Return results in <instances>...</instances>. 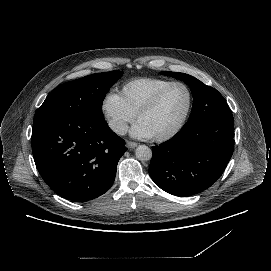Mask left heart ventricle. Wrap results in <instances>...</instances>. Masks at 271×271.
I'll use <instances>...</instances> for the list:
<instances>
[{"instance_id": "b2bd125f", "label": "left heart ventricle", "mask_w": 271, "mask_h": 271, "mask_svg": "<svg viewBox=\"0 0 271 271\" xmlns=\"http://www.w3.org/2000/svg\"><path fill=\"white\" fill-rule=\"evenodd\" d=\"M188 105V90L183 85H176L165 94L157 108L140 122L144 124L151 137L167 134L180 123Z\"/></svg>"}]
</instances>
